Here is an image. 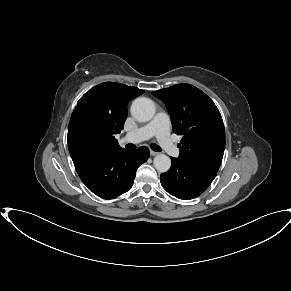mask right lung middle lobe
I'll return each instance as SVG.
<instances>
[{"mask_svg": "<svg viewBox=\"0 0 291 291\" xmlns=\"http://www.w3.org/2000/svg\"><path fill=\"white\" fill-rule=\"evenodd\" d=\"M82 139H83V134H82V132H77V133H75L74 136H73V140H74L75 142H81Z\"/></svg>", "mask_w": 291, "mask_h": 291, "instance_id": "obj_1", "label": "right lung middle lobe"}]
</instances>
